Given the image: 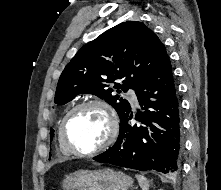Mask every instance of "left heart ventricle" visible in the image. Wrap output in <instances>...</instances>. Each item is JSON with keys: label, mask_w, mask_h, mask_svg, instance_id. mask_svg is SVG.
<instances>
[{"label": "left heart ventricle", "mask_w": 221, "mask_h": 190, "mask_svg": "<svg viewBox=\"0 0 221 190\" xmlns=\"http://www.w3.org/2000/svg\"><path fill=\"white\" fill-rule=\"evenodd\" d=\"M109 131V118L99 106L77 110L67 125L69 141L78 149L90 150L103 143Z\"/></svg>", "instance_id": "obj_1"}]
</instances>
